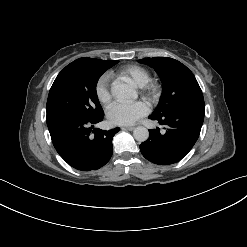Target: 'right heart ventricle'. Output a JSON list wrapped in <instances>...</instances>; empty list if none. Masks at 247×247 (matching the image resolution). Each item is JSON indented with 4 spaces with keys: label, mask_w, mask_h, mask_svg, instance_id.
I'll list each match as a JSON object with an SVG mask.
<instances>
[{
    "label": "right heart ventricle",
    "mask_w": 247,
    "mask_h": 247,
    "mask_svg": "<svg viewBox=\"0 0 247 247\" xmlns=\"http://www.w3.org/2000/svg\"><path fill=\"white\" fill-rule=\"evenodd\" d=\"M120 73L129 76L139 87L144 86L150 80L149 71L139 65H127L120 70Z\"/></svg>",
    "instance_id": "obj_1"
}]
</instances>
